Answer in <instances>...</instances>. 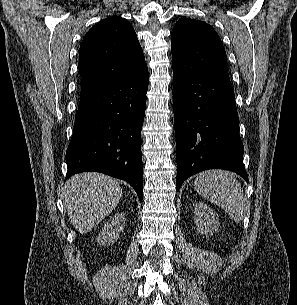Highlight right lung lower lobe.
<instances>
[{
  "label": "right lung lower lobe",
  "mask_w": 297,
  "mask_h": 305,
  "mask_svg": "<svg viewBox=\"0 0 297 305\" xmlns=\"http://www.w3.org/2000/svg\"><path fill=\"white\" fill-rule=\"evenodd\" d=\"M148 89L147 65L82 96L66 151V179L96 171L127 181L143 198L141 129Z\"/></svg>",
  "instance_id": "98d812e1"
}]
</instances>
